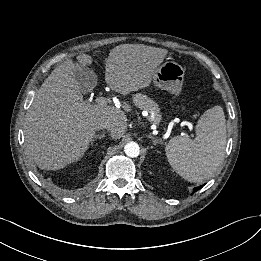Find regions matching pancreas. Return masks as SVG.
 <instances>
[{
  "label": "pancreas",
  "instance_id": "obj_1",
  "mask_svg": "<svg viewBox=\"0 0 261 261\" xmlns=\"http://www.w3.org/2000/svg\"><path fill=\"white\" fill-rule=\"evenodd\" d=\"M133 103L135 106L140 108L141 110H147L150 113L148 119L152 122L159 123L161 120L160 109L158 104L154 102L148 96L142 93H136L132 97Z\"/></svg>",
  "mask_w": 261,
  "mask_h": 261
}]
</instances>
